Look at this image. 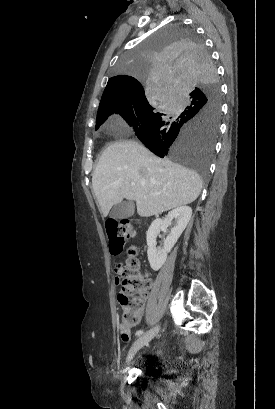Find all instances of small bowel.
<instances>
[{
	"label": "small bowel",
	"instance_id": "1",
	"mask_svg": "<svg viewBox=\"0 0 275 409\" xmlns=\"http://www.w3.org/2000/svg\"><path fill=\"white\" fill-rule=\"evenodd\" d=\"M113 281H114V287L115 288H120L121 287L122 279H121L120 274H117ZM119 339H120L121 342H125L128 345L130 343L131 339H132L130 331L129 330H124L120 334Z\"/></svg>",
	"mask_w": 275,
	"mask_h": 409
}]
</instances>
